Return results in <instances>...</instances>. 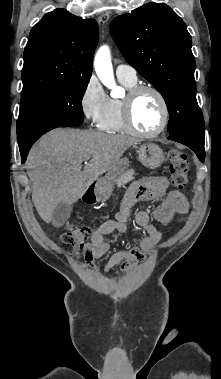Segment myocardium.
<instances>
[{"mask_svg":"<svg viewBox=\"0 0 221 379\" xmlns=\"http://www.w3.org/2000/svg\"><path fill=\"white\" fill-rule=\"evenodd\" d=\"M144 92H151L153 93L161 106V111H162V118H161V123L159 127L152 132H143L140 131L134 123L133 120V105L137 97L144 93ZM122 115H123V122L125 125V128L128 132L142 137V138H154L158 135H160L167 127L168 122H169V107L167 104V101L162 94V92L157 89L154 86L151 85H135L134 87L130 88L125 96V98L122 100Z\"/></svg>","mask_w":221,"mask_h":379,"instance_id":"f54148a6","label":"myocardium"}]
</instances>
